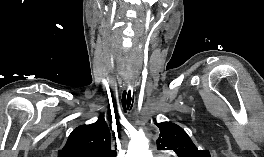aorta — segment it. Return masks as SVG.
<instances>
[{
	"instance_id": "762f6f07",
	"label": "aorta",
	"mask_w": 264,
	"mask_h": 157,
	"mask_svg": "<svg viewBox=\"0 0 264 157\" xmlns=\"http://www.w3.org/2000/svg\"><path fill=\"white\" fill-rule=\"evenodd\" d=\"M128 155V157H151L148 139L142 134L133 137L129 144Z\"/></svg>"
}]
</instances>
